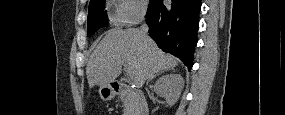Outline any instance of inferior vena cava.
<instances>
[{
  "label": "inferior vena cava",
  "mask_w": 285,
  "mask_h": 115,
  "mask_svg": "<svg viewBox=\"0 0 285 115\" xmlns=\"http://www.w3.org/2000/svg\"><path fill=\"white\" fill-rule=\"evenodd\" d=\"M139 32V35L141 36V38L143 40H147L148 39V26L147 24L144 22L141 27H140V30L138 31Z\"/></svg>",
  "instance_id": "602c4592"
}]
</instances>
